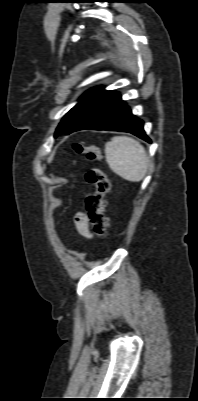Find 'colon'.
I'll use <instances>...</instances> for the list:
<instances>
[{"label":"colon","instance_id":"5ec220e1","mask_svg":"<svg viewBox=\"0 0 198 401\" xmlns=\"http://www.w3.org/2000/svg\"><path fill=\"white\" fill-rule=\"evenodd\" d=\"M73 149L83 154L91 162L101 160V151L97 146H84L75 143ZM86 182L92 191L86 196V210L88 221L99 237H106L109 230V219L106 216V196L110 190V183L106 174L98 167L90 168L85 174Z\"/></svg>","mask_w":198,"mask_h":401}]
</instances>
